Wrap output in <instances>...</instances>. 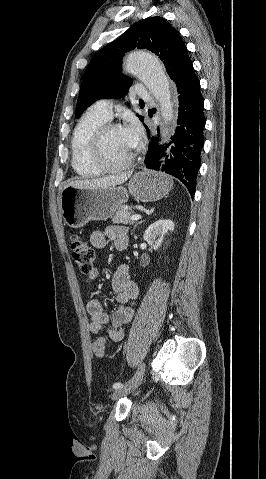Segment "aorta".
Here are the masks:
<instances>
[{"label": "aorta", "mask_w": 266, "mask_h": 479, "mask_svg": "<svg viewBox=\"0 0 266 479\" xmlns=\"http://www.w3.org/2000/svg\"><path fill=\"white\" fill-rule=\"evenodd\" d=\"M126 71L141 80L160 103L165 123L173 119L170 81L159 59L146 51H133L127 55Z\"/></svg>", "instance_id": "aorta-1"}]
</instances>
